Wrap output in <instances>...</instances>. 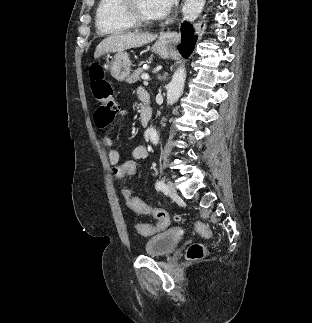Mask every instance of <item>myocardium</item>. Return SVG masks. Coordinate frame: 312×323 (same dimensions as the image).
I'll use <instances>...</instances> for the list:
<instances>
[{"instance_id": "obj_1", "label": "myocardium", "mask_w": 312, "mask_h": 323, "mask_svg": "<svg viewBox=\"0 0 312 323\" xmlns=\"http://www.w3.org/2000/svg\"><path fill=\"white\" fill-rule=\"evenodd\" d=\"M121 6V15L125 17V19L129 18L131 23L135 25H155V18H150L147 12L143 13L141 8H138V0H122ZM143 13V14H142Z\"/></svg>"}]
</instances>
